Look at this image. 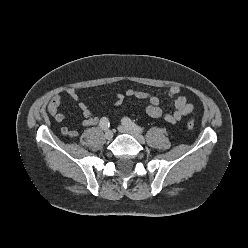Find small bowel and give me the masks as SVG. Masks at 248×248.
<instances>
[{
  "instance_id": "obj_1",
  "label": "small bowel",
  "mask_w": 248,
  "mask_h": 248,
  "mask_svg": "<svg viewBox=\"0 0 248 248\" xmlns=\"http://www.w3.org/2000/svg\"><path fill=\"white\" fill-rule=\"evenodd\" d=\"M66 93L73 100L79 99L78 92L75 88H68ZM166 96L173 100L174 111L172 113H164L162 111L160 107V97L158 95L149 94L145 91L137 89H128L125 93H118L115 97L114 103L116 106H120L126 97L147 99L149 104L146 107V114L151 118H162L171 124L179 122L181 119L193 112V104L189 103L187 98L181 94V89L179 87H171L167 91ZM62 101V96L60 94H56L47 104L48 113L57 123H61L65 119V115L60 111ZM78 107L82 112V124L84 126H95L98 124L99 118L90 111L85 103L80 102ZM60 132L62 135L71 138H75L79 135V132L76 129H71L67 126L61 127Z\"/></svg>"
}]
</instances>
